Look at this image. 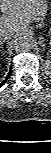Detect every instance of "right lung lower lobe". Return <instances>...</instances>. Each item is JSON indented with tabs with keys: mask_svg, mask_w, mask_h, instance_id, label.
Segmentation results:
<instances>
[{
	"mask_svg": "<svg viewBox=\"0 0 51 153\" xmlns=\"http://www.w3.org/2000/svg\"><path fill=\"white\" fill-rule=\"evenodd\" d=\"M11 72H12V71L10 70V72H9V74L7 75L6 79L0 83V87L7 81V79L9 78V76H10V74H11Z\"/></svg>",
	"mask_w": 51,
	"mask_h": 153,
	"instance_id": "98d812e1",
	"label": "right lung lower lobe"
}]
</instances>
